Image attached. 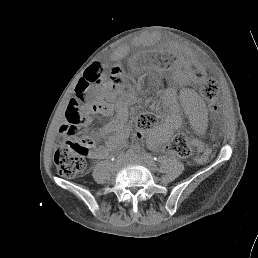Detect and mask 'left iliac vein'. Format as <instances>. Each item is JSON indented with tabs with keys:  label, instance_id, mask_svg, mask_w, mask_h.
<instances>
[{
	"label": "left iliac vein",
	"instance_id": "obj_1",
	"mask_svg": "<svg viewBox=\"0 0 258 258\" xmlns=\"http://www.w3.org/2000/svg\"><path fill=\"white\" fill-rule=\"evenodd\" d=\"M135 161H138V162H140V163L143 162L142 158H140V157H136V158H135Z\"/></svg>",
	"mask_w": 258,
	"mask_h": 258
}]
</instances>
